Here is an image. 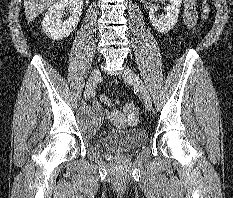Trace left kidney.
Here are the masks:
<instances>
[{
	"mask_svg": "<svg viewBox=\"0 0 233 198\" xmlns=\"http://www.w3.org/2000/svg\"><path fill=\"white\" fill-rule=\"evenodd\" d=\"M158 1V0H154ZM165 2V0H159ZM169 4L165 9V16H157V8L151 7L149 10V18L152 26L160 33L170 31L178 21V15L182 0H168Z\"/></svg>",
	"mask_w": 233,
	"mask_h": 198,
	"instance_id": "obj_1",
	"label": "left kidney"
}]
</instances>
